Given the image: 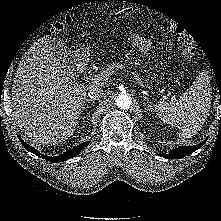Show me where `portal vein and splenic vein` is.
Returning <instances> with one entry per match:
<instances>
[{"instance_id":"obj_1","label":"portal vein and splenic vein","mask_w":221,"mask_h":221,"mask_svg":"<svg viewBox=\"0 0 221 221\" xmlns=\"http://www.w3.org/2000/svg\"><path fill=\"white\" fill-rule=\"evenodd\" d=\"M118 68L122 69V68H125L122 64L121 65H117ZM131 74L133 75V77L138 81V83L144 87V84H143V81L142 79L140 78L139 74L134 72V71H131ZM114 73L113 70H106L104 72H101L97 75L94 76V78H92V81L93 83L95 84H100L104 81H107L108 78Z\"/></svg>"}]
</instances>
